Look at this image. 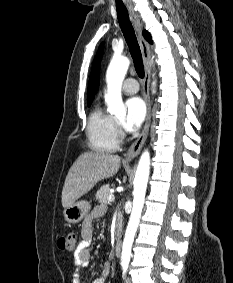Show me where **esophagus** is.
<instances>
[{
    "label": "esophagus",
    "mask_w": 233,
    "mask_h": 283,
    "mask_svg": "<svg viewBox=\"0 0 233 283\" xmlns=\"http://www.w3.org/2000/svg\"><path fill=\"white\" fill-rule=\"evenodd\" d=\"M131 13V18L133 21V24L135 26V29L138 34V40L142 51V57L145 67V78L143 81V91H144V99L146 102L147 107V115L145 124L143 127V130L141 134L138 136V138L135 140V142L130 146L126 156L125 161L129 162L133 160L135 157H137L147 139L150 123H151V102H150V93H149V87H150V77H151V67H152V59H151V50L149 44L145 41V39L142 36V26L139 17L135 14L134 10L132 8H129Z\"/></svg>",
    "instance_id": "34e87169"
}]
</instances>
